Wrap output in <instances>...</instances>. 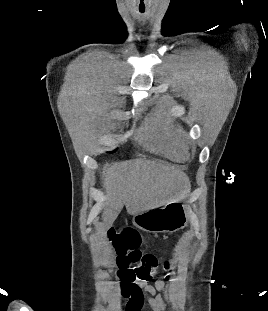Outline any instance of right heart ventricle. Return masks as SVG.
<instances>
[{
    "label": "right heart ventricle",
    "instance_id": "obj_1",
    "mask_svg": "<svg viewBox=\"0 0 268 311\" xmlns=\"http://www.w3.org/2000/svg\"><path fill=\"white\" fill-rule=\"evenodd\" d=\"M138 141L146 148L156 151L174 161L188 157V147L181 127L164 107H158L143 123Z\"/></svg>",
    "mask_w": 268,
    "mask_h": 311
}]
</instances>
